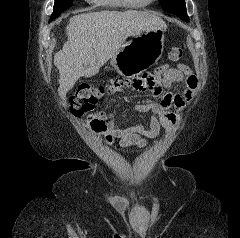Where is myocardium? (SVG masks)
Wrapping results in <instances>:
<instances>
[{
  "mask_svg": "<svg viewBox=\"0 0 240 238\" xmlns=\"http://www.w3.org/2000/svg\"><path fill=\"white\" fill-rule=\"evenodd\" d=\"M156 0H147V1H132V0H121V2L126 7H136V6H147L151 3H153Z\"/></svg>",
  "mask_w": 240,
  "mask_h": 238,
  "instance_id": "obj_1",
  "label": "myocardium"
}]
</instances>
